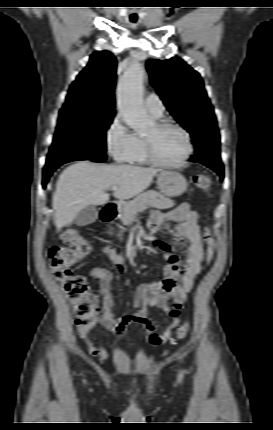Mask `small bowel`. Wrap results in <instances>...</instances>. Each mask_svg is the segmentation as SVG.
<instances>
[{
  "label": "small bowel",
  "mask_w": 273,
  "mask_h": 430,
  "mask_svg": "<svg viewBox=\"0 0 273 430\" xmlns=\"http://www.w3.org/2000/svg\"><path fill=\"white\" fill-rule=\"evenodd\" d=\"M198 215L186 203L176 207L156 211L149 220L152 233H161L167 222H177L171 247L165 240L157 239L154 247L161 250L167 260L165 267L166 277L151 285H142L138 288L133 301L135 313L122 317H115L113 313L114 301L111 297L110 285L112 273L104 267H95L89 272L99 289L102 302V313L98 322L105 328L115 331L119 338H124L125 331L131 323L142 325L147 331V340L153 345H160L171 339L172 332L182 329L188 331V324H180L179 308L185 302L187 294L195 284L196 276L201 271L203 246L197 224ZM184 251V262H179L177 252ZM104 253L115 266L118 274L125 271L124 255L116 252L112 247L105 246ZM170 300L173 305H170ZM151 308L166 315V325L162 334L155 333L156 326L148 317ZM172 340V339H171ZM173 341V340H172ZM90 354L106 360L108 353L102 345L88 343Z\"/></svg>",
  "instance_id": "1"
}]
</instances>
